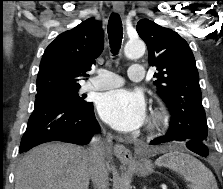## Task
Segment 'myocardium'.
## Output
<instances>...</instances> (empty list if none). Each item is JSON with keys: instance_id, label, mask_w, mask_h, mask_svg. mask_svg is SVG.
I'll return each mask as SVG.
<instances>
[{"instance_id": "f54148a6", "label": "myocardium", "mask_w": 223, "mask_h": 189, "mask_svg": "<svg viewBox=\"0 0 223 189\" xmlns=\"http://www.w3.org/2000/svg\"><path fill=\"white\" fill-rule=\"evenodd\" d=\"M167 121V116L165 112L161 110H154L152 111L149 122H148V129L150 131L160 129Z\"/></svg>"}]
</instances>
